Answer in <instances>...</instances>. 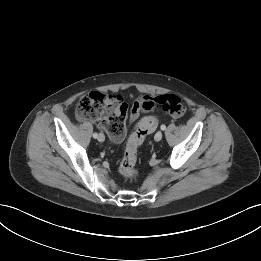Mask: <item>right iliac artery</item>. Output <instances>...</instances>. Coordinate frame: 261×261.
<instances>
[{
  "mask_svg": "<svg viewBox=\"0 0 261 261\" xmlns=\"http://www.w3.org/2000/svg\"><path fill=\"white\" fill-rule=\"evenodd\" d=\"M93 137H94V138H97V137H98V134H97V133H94V134H93Z\"/></svg>",
  "mask_w": 261,
  "mask_h": 261,
  "instance_id": "1",
  "label": "right iliac artery"
}]
</instances>
